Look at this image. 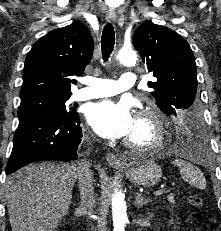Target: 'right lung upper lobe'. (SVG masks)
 Segmentation results:
<instances>
[{"label":"right lung upper lobe","mask_w":221,"mask_h":231,"mask_svg":"<svg viewBox=\"0 0 221 231\" xmlns=\"http://www.w3.org/2000/svg\"><path fill=\"white\" fill-rule=\"evenodd\" d=\"M88 28L74 22L55 29L32 46L25 59L21 99L36 96L70 97L73 75H82L93 54Z\"/></svg>","instance_id":"cb5924a9"}]
</instances>
